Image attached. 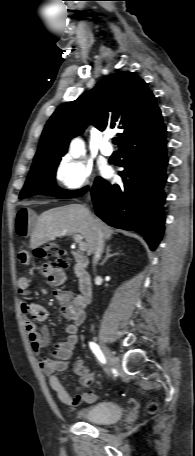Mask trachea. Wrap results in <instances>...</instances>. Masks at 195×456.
<instances>
[{
  "instance_id": "obj_1",
  "label": "trachea",
  "mask_w": 195,
  "mask_h": 456,
  "mask_svg": "<svg viewBox=\"0 0 195 456\" xmlns=\"http://www.w3.org/2000/svg\"><path fill=\"white\" fill-rule=\"evenodd\" d=\"M118 142H119V139H118L117 137H115V138L113 139V143H114V144H118Z\"/></svg>"
}]
</instances>
